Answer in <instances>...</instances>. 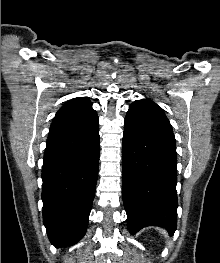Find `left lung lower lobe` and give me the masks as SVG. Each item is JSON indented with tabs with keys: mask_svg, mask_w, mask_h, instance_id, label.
Listing matches in <instances>:
<instances>
[{
	"mask_svg": "<svg viewBox=\"0 0 220 263\" xmlns=\"http://www.w3.org/2000/svg\"><path fill=\"white\" fill-rule=\"evenodd\" d=\"M176 165L175 139L125 119L122 193L131 234L150 225L175 232Z\"/></svg>",
	"mask_w": 220,
	"mask_h": 263,
	"instance_id": "left-lung-lower-lobe-1",
	"label": "left lung lower lobe"
}]
</instances>
